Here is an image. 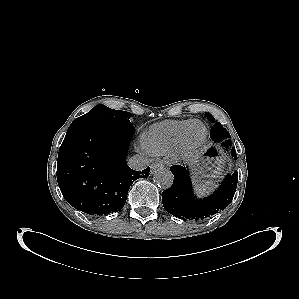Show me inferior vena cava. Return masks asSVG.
<instances>
[{"label":"inferior vena cava","mask_w":299,"mask_h":299,"mask_svg":"<svg viewBox=\"0 0 299 299\" xmlns=\"http://www.w3.org/2000/svg\"><path fill=\"white\" fill-rule=\"evenodd\" d=\"M128 165L133 170L141 171L149 165V160L145 156L134 155L129 158Z\"/></svg>","instance_id":"602c4592"}]
</instances>
